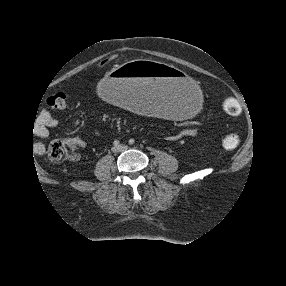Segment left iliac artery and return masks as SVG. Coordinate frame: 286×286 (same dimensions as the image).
<instances>
[{
	"label": "left iliac artery",
	"mask_w": 286,
	"mask_h": 286,
	"mask_svg": "<svg viewBox=\"0 0 286 286\" xmlns=\"http://www.w3.org/2000/svg\"><path fill=\"white\" fill-rule=\"evenodd\" d=\"M134 143H135L134 139H130V140H129V144L132 145V144H134Z\"/></svg>",
	"instance_id": "44dca946"
}]
</instances>
